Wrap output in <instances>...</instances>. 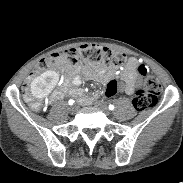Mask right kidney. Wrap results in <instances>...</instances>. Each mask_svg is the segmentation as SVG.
<instances>
[{
    "label": "right kidney",
    "mask_w": 183,
    "mask_h": 183,
    "mask_svg": "<svg viewBox=\"0 0 183 183\" xmlns=\"http://www.w3.org/2000/svg\"><path fill=\"white\" fill-rule=\"evenodd\" d=\"M58 81V74L55 71H45L35 78L31 83V94L34 98L42 100L49 95Z\"/></svg>",
    "instance_id": "obj_1"
}]
</instances>
